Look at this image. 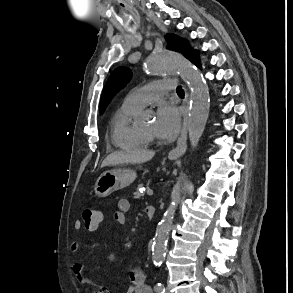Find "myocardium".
Masks as SVG:
<instances>
[{
    "label": "myocardium",
    "mask_w": 293,
    "mask_h": 293,
    "mask_svg": "<svg viewBox=\"0 0 293 293\" xmlns=\"http://www.w3.org/2000/svg\"><path fill=\"white\" fill-rule=\"evenodd\" d=\"M142 134L149 142H152L154 140V137L152 135L146 134L144 132H142Z\"/></svg>",
    "instance_id": "f54148a6"
}]
</instances>
